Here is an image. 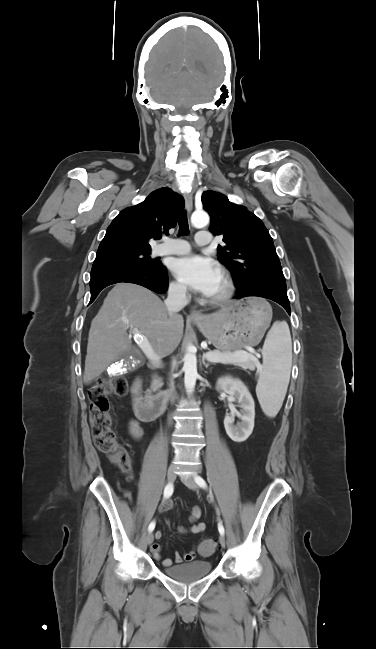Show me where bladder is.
Segmentation results:
<instances>
[{
	"mask_svg": "<svg viewBox=\"0 0 376 649\" xmlns=\"http://www.w3.org/2000/svg\"><path fill=\"white\" fill-rule=\"evenodd\" d=\"M211 571L212 565L208 561H193L163 569V572L167 576L183 583H191L202 579L211 573Z\"/></svg>",
	"mask_w": 376,
	"mask_h": 649,
	"instance_id": "1",
	"label": "bladder"
}]
</instances>
